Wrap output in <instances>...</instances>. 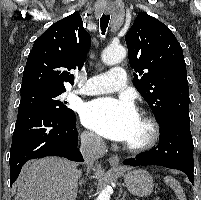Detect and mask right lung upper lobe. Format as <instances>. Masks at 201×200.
Here are the masks:
<instances>
[{
	"label": "right lung upper lobe",
	"mask_w": 201,
	"mask_h": 200,
	"mask_svg": "<svg viewBox=\"0 0 201 200\" xmlns=\"http://www.w3.org/2000/svg\"><path fill=\"white\" fill-rule=\"evenodd\" d=\"M91 37L78 12L54 23L33 45L23 73L21 93L65 91L73 84L69 70L80 68L89 51Z\"/></svg>",
	"instance_id": "cb5924a9"
}]
</instances>
